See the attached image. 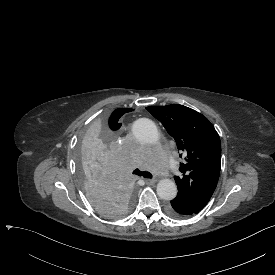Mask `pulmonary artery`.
<instances>
[{
	"mask_svg": "<svg viewBox=\"0 0 275 275\" xmlns=\"http://www.w3.org/2000/svg\"><path fill=\"white\" fill-rule=\"evenodd\" d=\"M166 144H167V143H166ZM167 148H168V146H167ZM168 152H169V148H168ZM169 155H170V157H171L170 152H169ZM167 164H168L169 167L171 168V172L173 173V175H174L175 177H178V176L180 175V172H179V170H178V168H177V165L175 164V161H174L173 159H169V160L167 161Z\"/></svg>",
	"mask_w": 275,
	"mask_h": 275,
	"instance_id": "e3ab8cb5",
	"label": "pulmonary artery"
}]
</instances>
